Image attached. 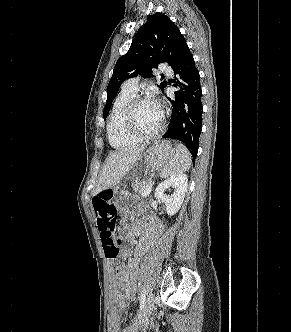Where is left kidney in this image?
<instances>
[{
    "instance_id": "obj_1",
    "label": "left kidney",
    "mask_w": 291,
    "mask_h": 332,
    "mask_svg": "<svg viewBox=\"0 0 291 332\" xmlns=\"http://www.w3.org/2000/svg\"><path fill=\"white\" fill-rule=\"evenodd\" d=\"M187 184V176L180 173L171 176L157 186L154 196L165 204L168 215L172 216L180 209L187 192ZM171 189H173V193L168 195L166 191Z\"/></svg>"
}]
</instances>
